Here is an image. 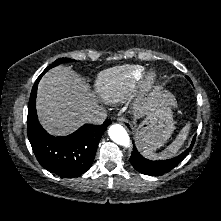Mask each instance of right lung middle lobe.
<instances>
[{
	"label": "right lung middle lobe",
	"mask_w": 221,
	"mask_h": 221,
	"mask_svg": "<svg viewBox=\"0 0 221 221\" xmlns=\"http://www.w3.org/2000/svg\"><path fill=\"white\" fill-rule=\"evenodd\" d=\"M74 60L73 59H69V58H60V59H57L54 63H52L51 65H49L43 72L42 74L40 75V77H42V75L47 72L49 69L61 64V63H64V62H73Z\"/></svg>",
	"instance_id": "dd1d6c3e"
}]
</instances>
